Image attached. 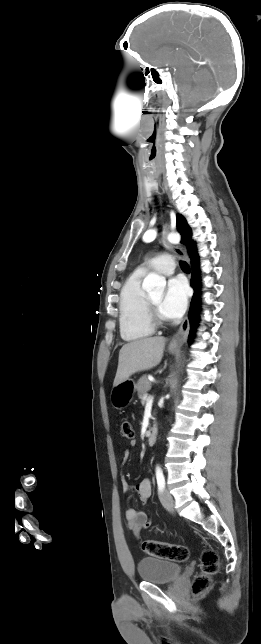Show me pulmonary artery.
<instances>
[{
    "mask_svg": "<svg viewBox=\"0 0 261 644\" xmlns=\"http://www.w3.org/2000/svg\"><path fill=\"white\" fill-rule=\"evenodd\" d=\"M175 268V261L173 257L167 254H160L149 260L144 266L140 268L141 271L157 270L162 273H169Z\"/></svg>",
    "mask_w": 261,
    "mask_h": 644,
    "instance_id": "1",
    "label": "pulmonary artery"
}]
</instances>
